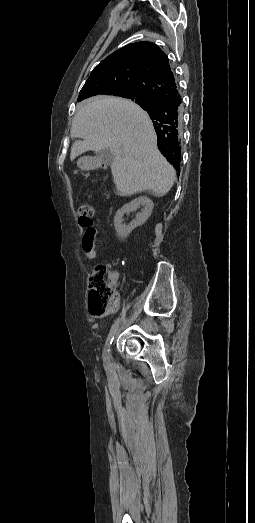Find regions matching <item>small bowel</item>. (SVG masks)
Here are the masks:
<instances>
[{
	"label": "small bowel",
	"mask_w": 255,
	"mask_h": 523,
	"mask_svg": "<svg viewBox=\"0 0 255 523\" xmlns=\"http://www.w3.org/2000/svg\"><path fill=\"white\" fill-rule=\"evenodd\" d=\"M98 231L93 225H88L82 240V252L84 256L89 260H94L96 258V239ZM114 277L116 282L119 279V273L115 272Z\"/></svg>",
	"instance_id": "c3829d8e"
}]
</instances>
